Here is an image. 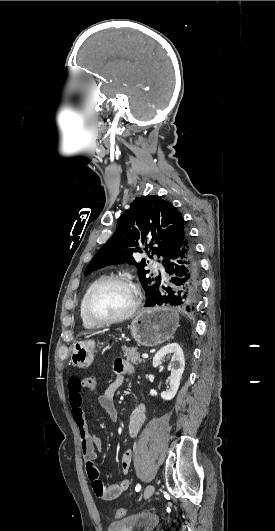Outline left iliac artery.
<instances>
[{
  "label": "left iliac artery",
  "mask_w": 275,
  "mask_h": 531,
  "mask_svg": "<svg viewBox=\"0 0 275 531\" xmlns=\"http://www.w3.org/2000/svg\"><path fill=\"white\" fill-rule=\"evenodd\" d=\"M141 490V485L140 484H137L136 487H135V491L136 492H139Z\"/></svg>",
  "instance_id": "obj_1"
}]
</instances>
